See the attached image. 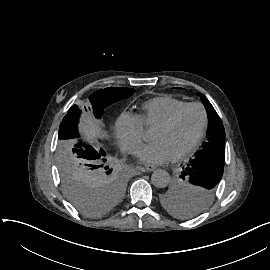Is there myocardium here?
<instances>
[{"mask_svg":"<svg viewBox=\"0 0 270 270\" xmlns=\"http://www.w3.org/2000/svg\"><path fill=\"white\" fill-rule=\"evenodd\" d=\"M191 108H196L201 112L202 120H201L200 130H199L198 135L195 138V140L187 148H185L184 150H182L181 152H179L177 154L178 159H181V158L191 154L199 146V144L204 136L205 129L207 126V112H206L205 108L199 103H190V104H187L184 107L180 108L179 110H177L168 119L157 124V126H159V127L171 128L178 122V120L180 119L182 114Z\"/></svg>","mask_w":270,"mask_h":270,"instance_id":"1","label":"myocardium"}]
</instances>
